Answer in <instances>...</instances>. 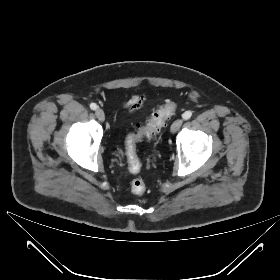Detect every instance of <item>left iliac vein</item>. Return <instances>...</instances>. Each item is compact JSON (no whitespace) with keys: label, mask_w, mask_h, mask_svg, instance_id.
Here are the masks:
<instances>
[{"label":"left iliac vein","mask_w":280,"mask_h":280,"mask_svg":"<svg viewBox=\"0 0 280 280\" xmlns=\"http://www.w3.org/2000/svg\"><path fill=\"white\" fill-rule=\"evenodd\" d=\"M183 124V120L182 119H177L173 122V124L171 125V132L175 133L176 131H178L181 127V125Z\"/></svg>","instance_id":"4c4485c4"}]
</instances>
